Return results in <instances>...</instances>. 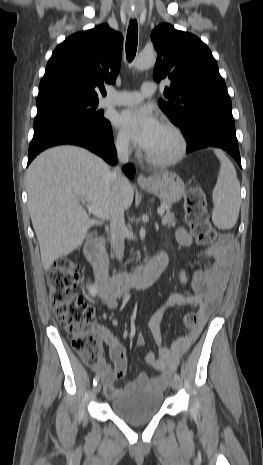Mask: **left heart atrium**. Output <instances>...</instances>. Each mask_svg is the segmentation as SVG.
Here are the masks:
<instances>
[{
	"label": "left heart atrium",
	"mask_w": 263,
	"mask_h": 465,
	"mask_svg": "<svg viewBox=\"0 0 263 465\" xmlns=\"http://www.w3.org/2000/svg\"><path fill=\"white\" fill-rule=\"evenodd\" d=\"M118 129L143 150L149 151L163 125L149 108H132L121 112L115 121Z\"/></svg>",
	"instance_id": "39dd6f15"
}]
</instances>
